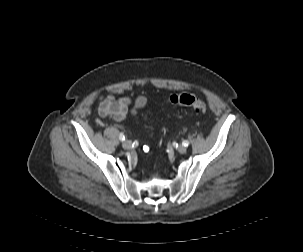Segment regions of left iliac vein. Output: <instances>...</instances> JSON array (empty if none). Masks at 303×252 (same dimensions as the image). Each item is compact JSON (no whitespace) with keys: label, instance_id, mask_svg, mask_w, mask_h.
<instances>
[{"label":"left iliac vein","instance_id":"left-iliac-vein-1","mask_svg":"<svg viewBox=\"0 0 303 252\" xmlns=\"http://www.w3.org/2000/svg\"><path fill=\"white\" fill-rule=\"evenodd\" d=\"M177 150L181 154L186 153V147H184L183 145H180Z\"/></svg>","mask_w":303,"mask_h":252}]
</instances>
